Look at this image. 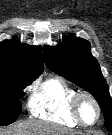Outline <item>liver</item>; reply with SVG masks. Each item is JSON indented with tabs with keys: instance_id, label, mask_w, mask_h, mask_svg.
I'll use <instances>...</instances> for the list:
<instances>
[{
	"instance_id": "obj_1",
	"label": "liver",
	"mask_w": 112,
	"mask_h": 135,
	"mask_svg": "<svg viewBox=\"0 0 112 135\" xmlns=\"http://www.w3.org/2000/svg\"><path fill=\"white\" fill-rule=\"evenodd\" d=\"M67 129L43 121L28 120L17 124L9 131H1L0 135H74Z\"/></svg>"
}]
</instances>
